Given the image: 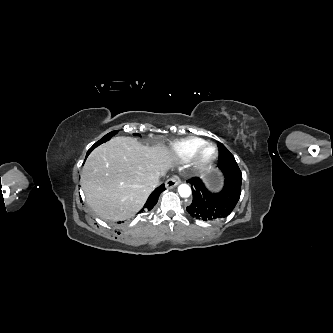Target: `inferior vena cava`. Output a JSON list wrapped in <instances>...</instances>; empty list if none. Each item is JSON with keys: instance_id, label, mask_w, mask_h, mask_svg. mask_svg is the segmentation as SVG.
Wrapping results in <instances>:
<instances>
[{"instance_id": "1", "label": "inferior vena cava", "mask_w": 333, "mask_h": 333, "mask_svg": "<svg viewBox=\"0 0 333 333\" xmlns=\"http://www.w3.org/2000/svg\"><path fill=\"white\" fill-rule=\"evenodd\" d=\"M157 186H159V182H156L155 184H153V189L156 188Z\"/></svg>"}]
</instances>
